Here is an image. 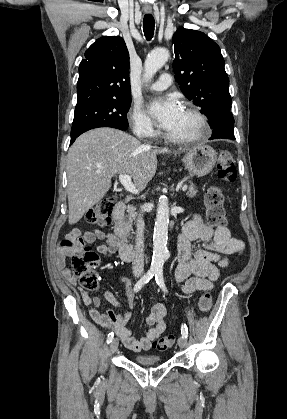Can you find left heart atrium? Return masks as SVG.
I'll use <instances>...</instances> for the list:
<instances>
[{
  "mask_svg": "<svg viewBox=\"0 0 287 419\" xmlns=\"http://www.w3.org/2000/svg\"><path fill=\"white\" fill-rule=\"evenodd\" d=\"M148 111L161 128L169 130L179 117L182 108L175 96L167 95L150 102Z\"/></svg>",
  "mask_w": 287,
  "mask_h": 419,
  "instance_id": "left-heart-atrium-1",
  "label": "left heart atrium"
}]
</instances>
